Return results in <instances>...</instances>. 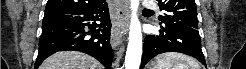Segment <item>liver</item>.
<instances>
[{
    "mask_svg": "<svg viewBox=\"0 0 246 69\" xmlns=\"http://www.w3.org/2000/svg\"><path fill=\"white\" fill-rule=\"evenodd\" d=\"M40 69H103V66L87 54L60 51L48 57Z\"/></svg>",
    "mask_w": 246,
    "mask_h": 69,
    "instance_id": "1",
    "label": "liver"
}]
</instances>
